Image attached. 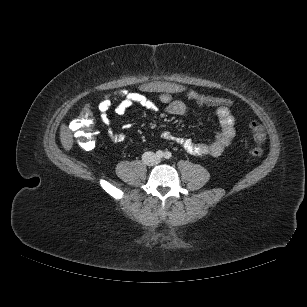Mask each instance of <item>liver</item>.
<instances>
[{"instance_id": "liver-1", "label": "liver", "mask_w": 307, "mask_h": 307, "mask_svg": "<svg viewBox=\"0 0 307 307\" xmlns=\"http://www.w3.org/2000/svg\"><path fill=\"white\" fill-rule=\"evenodd\" d=\"M138 90L145 93H176L186 95L189 92V85L182 80H162L155 78L154 80H145L138 85ZM60 140L66 151L70 150L73 145V137L69 128L62 124L60 127Z\"/></svg>"}]
</instances>
